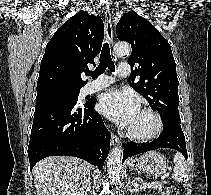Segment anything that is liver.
Here are the masks:
<instances>
[{
  "instance_id": "6515ba94",
  "label": "liver",
  "mask_w": 211,
  "mask_h": 195,
  "mask_svg": "<svg viewBox=\"0 0 211 195\" xmlns=\"http://www.w3.org/2000/svg\"><path fill=\"white\" fill-rule=\"evenodd\" d=\"M90 171L91 166L76 157H47L33 169L37 195H84L91 181Z\"/></svg>"
}]
</instances>
